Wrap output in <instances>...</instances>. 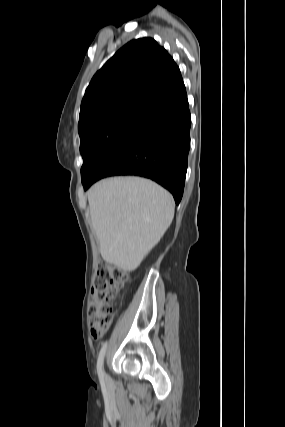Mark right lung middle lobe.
Here are the masks:
<instances>
[{"label":"right lung middle lobe","instance_id":"1","mask_svg":"<svg viewBox=\"0 0 285 427\" xmlns=\"http://www.w3.org/2000/svg\"><path fill=\"white\" fill-rule=\"evenodd\" d=\"M144 107L127 106L95 118L78 129L83 157L82 183L88 181L101 161L112 150Z\"/></svg>","mask_w":285,"mask_h":427}]
</instances>
